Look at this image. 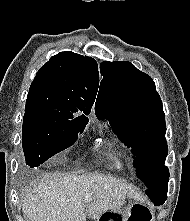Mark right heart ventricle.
<instances>
[{"label":"right heart ventricle","mask_w":190,"mask_h":221,"mask_svg":"<svg viewBox=\"0 0 190 221\" xmlns=\"http://www.w3.org/2000/svg\"><path fill=\"white\" fill-rule=\"evenodd\" d=\"M111 162L115 168H117V169L123 168V163L117 155H111Z\"/></svg>","instance_id":"1"}]
</instances>
